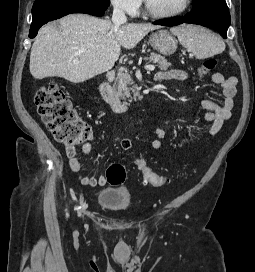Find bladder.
<instances>
[{
  "label": "bladder",
  "mask_w": 255,
  "mask_h": 272,
  "mask_svg": "<svg viewBox=\"0 0 255 272\" xmlns=\"http://www.w3.org/2000/svg\"><path fill=\"white\" fill-rule=\"evenodd\" d=\"M132 202V194L128 187H106L97 196V203L109 210L122 211Z\"/></svg>",
  "instance_id": "obj_1"
}]
</instances>
